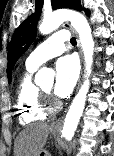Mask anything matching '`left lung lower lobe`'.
Returning <instances> with one entry per match:
<instances>
[{
	"instance_id": "obj_1",
	"label": "left lung lower lobe",
	"mask_w": 114,
	"mask_h": 156,
	"mask_svg": "<svg viewBox=\"0 0 114 156\" xmlns=\"http://www.w3.org/2000/svg\"><path fill=\"white\" fill-rule=\"evenodd\" d=\"M86 14H87V15H89V12H88V11H86Z\"/></svg>"
}]
</instances>
